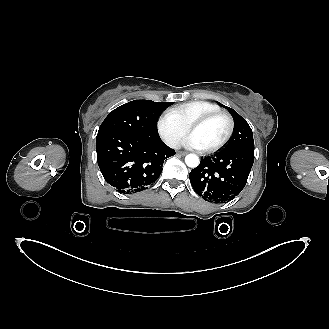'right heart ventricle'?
Segmentation results:
<instances>
[{
	"mask_svg": "<svg viewBox=\"0 0 329 329\" xmlns=\"http://www.w3.org/2000/svg\"><path fill=\"white\" fill-rule=\"evenodd\" d=\"M220 110L221 107L219 105L204 100L186 102L170 109V111L187 128L194 120L206 114Z\"/></svg>",
	"mask_w": 329,
	"mask_h": 329,
	"instance_id": "right-heart-ventricle-1",
	"label": "right heart ventricle"
}]
</instances>
